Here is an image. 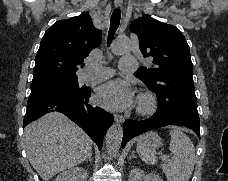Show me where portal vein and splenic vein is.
Instances as JSON below:
<instances>
[{
	"mask_svg": "<svg viewBox=\"0 0 228 181\" xmlns=\"http://www.w3.org/2000/svg\"><path fill=\"white\" fill-rule=\"evenodd\" d=\"M161 159H163V161H165V159H168V157H166V155H161Z\"/></svg>",
	"mask_w": 228,
	"mask_h": 181,
	"instance_id": "obj_1",
	"label": "portal vein and splenic vein"
}]
</instances>
